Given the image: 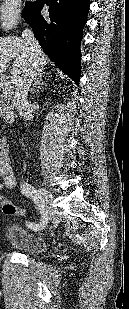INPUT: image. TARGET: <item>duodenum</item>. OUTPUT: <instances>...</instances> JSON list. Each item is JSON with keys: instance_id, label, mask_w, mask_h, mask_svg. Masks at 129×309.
<instances>
[{"instance_id": "obj_1", "label": "duodenum", "mask_w": 129, "mask_h": 309, "mask_svg": "<svg viewBox=\"0 0 129 309\" xmlns=\"http://www.w3.org/2000/svg\"><path fill=\"white\" fill-rule=\"evenodd\" d=\"M0 115L5 121L9 123L12 122L14 119L12 104L8 102L5 105H3L0 109Z\"/></svg>"}]
</instances>
